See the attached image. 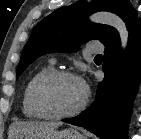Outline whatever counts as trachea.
Here are the masks:
<instances>
[{
    "mask_svg": "<svg viewBox=\"0 0 141 139\" xmlns=\"http://www.w3.org/2000/svg\"><path fill=\"white\" fill-rule=\"evenodd\" d=\"M95 57L96 58H102V55L99 54V55H96Z\"/></svg>",
    "mask_w": 141,
    "mask_h": 139,
    "instance_id": "1",
    "label": "trachea"
}]
</instances>
